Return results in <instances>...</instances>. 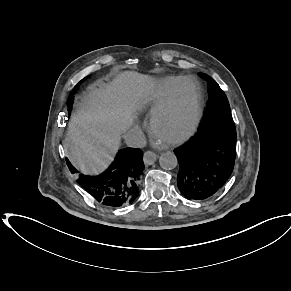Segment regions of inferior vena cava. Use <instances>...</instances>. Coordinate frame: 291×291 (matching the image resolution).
Instances as JSON below:
<instances>
[{
    "label": "inferior vena cava",
    "instance_id": "obj_1",
    "mask_svg": "<svg viewBox=\"0 0 291 291\" xmlns=\"http://www.w3.org/2000/svg\"><path fill=\"white\" fill-rule=\"evenodd\" d=\"M124 141L129 147L143 148L146 139L141 129L136 128L123 135Z\"/></svg>",
    "mask_w": 291,
    "mask_h": 291
}]
</instances>
